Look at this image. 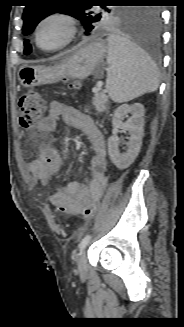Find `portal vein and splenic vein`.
<instances>
[{
  "mask_svg": "<svg viewBox=\"0 0 184 327\" xmlns=\"http://www.w3.org/2000/svg\"><path fill=\"white\" fill-rule=\"evenodd\" d=\"M103 83L102 81H98L97 84H96V87L93 88V92H97L101 89Z\"/></svg>",
  "mask_w": 184,
  "mask_h": 327,
  "instance_id": "obj_1",
  "label": "portal vein and splenic vein"
}]
</instances>
